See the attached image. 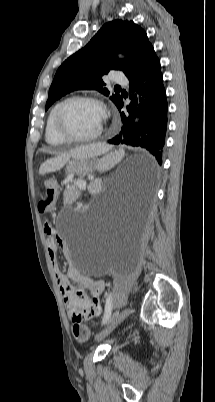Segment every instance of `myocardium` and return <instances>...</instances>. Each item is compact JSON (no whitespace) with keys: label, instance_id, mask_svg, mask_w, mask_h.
Returning <instances> with one entry per match:
<instances>
[{"label":"myocardium","instance_id":"obj_1","mask_svg":"<svg viewBox=\"0 0 215 402\" xmlns=\"http://www.w3.org/2000/svg\"><path fill=\"white\" fill-rule=\"evenodd\" d=\"M77 101L90 102V103L97 105L102 110V113L104 116V123H106L107 118H108V112H107V108L102 100H100L94 96L75 95V96L68 97V98L64 99L63 101H61L56 109L54 125H55V129H56L57 133L63 139H65L69 142L84 143V142H91V141L97 140L98 138H100L103 135L104 129H105L104 126H102L100 128V130H98L96 133L87 135V136H78V135L72 134L69 131H67L66 128L64 127V124H63L64 110L66 109V107L69 104H71L73 102H77Z\"/></svg>","mask_w":215,"mask_h":402}]
</instances>
